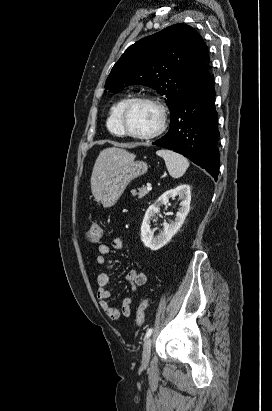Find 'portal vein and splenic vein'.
<instances>
[{"mask_svg": "<svg viewBox=\"0 0 272 411\" xmlns=\"http://www.w3.org/2000/svg\"><path fill=\"white\" fill-rule=\"evenodd\" d=\"M146 188H147L148 191L152 190V186L150 184H147Z\"/></svg>", "mask_w": 272, "mask_h": 411, "instance_id": "18ae733b", "label": "portal vein and splenic vein"}]
</instances>
